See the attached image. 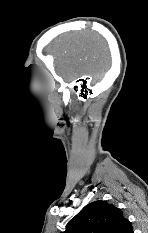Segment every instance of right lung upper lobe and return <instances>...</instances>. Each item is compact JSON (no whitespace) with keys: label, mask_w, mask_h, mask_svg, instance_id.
<instances>
[{"label":"right lung upper lobe","mask_w":148,"mask_h":233,"mask_svg":"<svg viewBox=\"0 0 148 233\" xmlns=\"http://www.w3.org/2000/svg\"><path fill=\"white\" fill-rule=\"evenodd\" d=\"M62 233H133V228L119 208L98 200L86 205Z\"/></svg>","instance_id":"1"}]
</instances>
